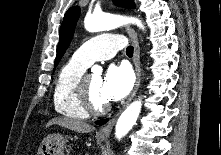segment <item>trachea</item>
I'll use <instances>...</instances> for the list:
<instances>
[{
	"mask_svg": "<svg viewBox=\"0 0 221 155\" xmlns=\"http://www.w3.org/2000/svg\"><path fill=\"white\" fill-rule=\"evenodd\" d=\"M126 54L131 57L133 56V46H128L126 49Z\"/></svg>",
	"mask_w": 221,
	"mask_h": 155,
	"instance_id": "trachea-1",
	"label": "trachea"
}]
</instances>
